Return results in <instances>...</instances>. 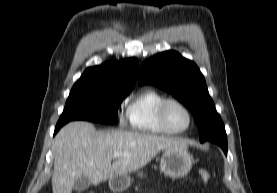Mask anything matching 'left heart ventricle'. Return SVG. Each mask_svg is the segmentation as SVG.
<instances>
[{
    "mask_svg": "<svg viewBox=\"0 0 277 193\" xmlns=\"http://www.w3.org/2000/svg\"><path fill=\"white\" fill-rule=\"evenodd\" d=\"M166 119L174 130H183L187 127L189 119L185 110L176 103H170L166 109Z\"/></svg>",
    "mask_w": 277,
    "mask_h": 193,
    "instance_id": "b2bd125f",
    "label": "left heart ventricle"
}]
</instances>
